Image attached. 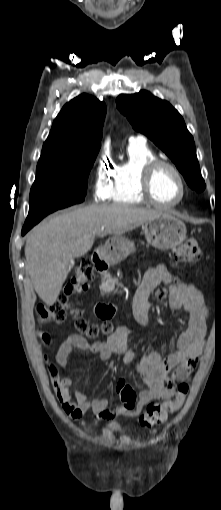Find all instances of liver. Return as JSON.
Instances as JSON below:
<instances>
[{"instance_id": "obj_1", "label": "liver", "mask_w": 221, "mask_h": 510, "mask_svg": "<svg viewBox=\"0 0 221 510\" xmlns=\"http://www.w3.org/2000/svg\"><path fill=\"white\" fill-rule=\"evenodd\" d=\"M161 213L113 203L90 205L44 220L30 231L25 244L26 269L36 293L44 303L53 305L70 262L91 249L95 235L120 236Z\"/></svg>"}]
</instances>
